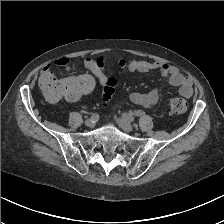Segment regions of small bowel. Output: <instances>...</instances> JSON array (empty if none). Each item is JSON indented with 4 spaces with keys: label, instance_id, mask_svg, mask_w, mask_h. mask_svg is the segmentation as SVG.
<instances>
[{
    "label": "small bowel",
    "instance_id": "small-bowel-1",
    "mask_svg": "<svg viewBox=\"0 0 224 224\" xmlns=\"http://www.w3.org/2000/svg\"><path fill=\"white\" fill-rule=\"evenodd\" d=\"M114 57L110 54H102L97 58L87 57L84 60L85 68L90 71L100 84L105 85L108 78L103 72L106 64L113 61ZM119 67L127 69L130 72H148L151 70H158L163 77H168L170 85L177 87L179 93L189 98L193 94L192 82L189 78L184 76L175 66L164 62H150L146 60L135 59L130 56H119L116 58ZM56 66L65 67L68 65V59L65 57L58 58L55 61ZM54 77L51 66L46 65L40 76V83L46 79ZM129 99L132 103L141 105L143 107H151L155 105L159 99V92L157 89H152L147 92H133Z\"/></svg>",
    "mask_w": 224,
    "mask_h": 224
}]
</instances>
